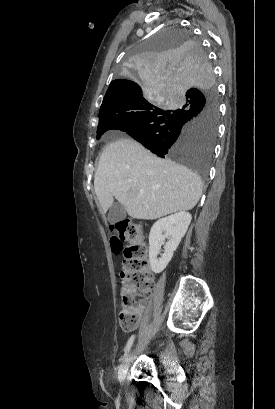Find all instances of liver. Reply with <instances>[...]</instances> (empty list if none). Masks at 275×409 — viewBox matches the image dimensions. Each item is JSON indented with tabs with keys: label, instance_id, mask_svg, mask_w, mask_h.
<instances>
[{
	"label": "liver",
	"instance_id": "6515ba94",
	"mask_svg": "<svg viewBox=\"0 0 275 409\" xmlns=\"http://www.w3.org/2000/svg\"><path fill=\"white\" fill-rule=\"evenodd\" d=\"M94 188L103 215L117 198L133 219H160L193 209L202 180L191 168L158 158L133 138H118L100 156Z\"/></svg>",
	"mask_w": 275,
	"mask_h": 409
}]
</instances>
